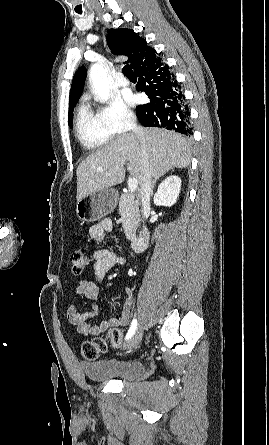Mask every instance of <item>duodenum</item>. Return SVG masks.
Instances as JSON below:
<instances>
[{
  "mask_svg": "<svg viewBox=\"0 0 269 445\" xmlns=\"http://www.w3.org/2000/svg\"><path fill=\"white\" fill-rule=\"evenodd\" d=\"M150 238V230L147 226H144L139 234L132 240L131 247L133 251L140 252L142 251L148 244Z\"/></svg>",
  "mask_w": 269,
  "mask_h": 445,
  "instance_id": "obj_1",
  "label": "duodenum"
}]
</instances>
